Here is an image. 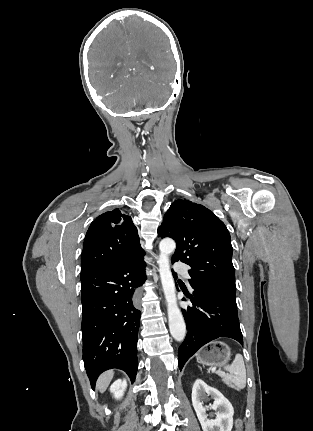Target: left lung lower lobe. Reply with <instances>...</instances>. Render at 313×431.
Here are the masks:
<instances>
[{
  "instance_id": "1",
  "label": "left lung lower lobe",
  "mask_w": 313,
  "mask_h": 431,
  "mask_svg": "<svg viewBox=\"0 0 313 431\" xmlns=\"http://www.w3.org/2000/svg\"><path fill=\"white\" fill-rule=\"evenodd\" d=\"M173 275L176 277L174 272ZM192 288V294L186 296L193 305L182 310L188 333L178 350L180 370L195 352L216 338H233L243 345L236 296L212 289Z\"/></svg>"
}]
</instances>
